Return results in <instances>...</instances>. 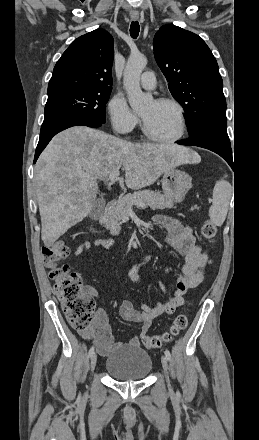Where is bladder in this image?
<instances>
[{
  "mask_svg": "<svg viewBox=\"0 0 259 440\" xmlns=\"http://www.w3.org/2000/svg\"><path fill=\"white\" fill-rule=\"evenodd\" d=\"M152 369L150 355L139 346L121 345L106 358V372L118 381H140Z\"/></svg>",
  "mask_w": 259,
  "mask_h": 440,
  "instance_id": "1",
  "label": "bladder"
}]
</instances>
